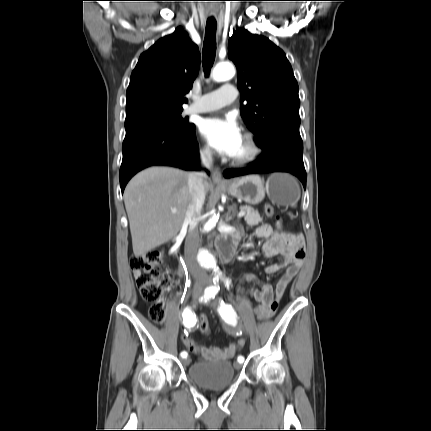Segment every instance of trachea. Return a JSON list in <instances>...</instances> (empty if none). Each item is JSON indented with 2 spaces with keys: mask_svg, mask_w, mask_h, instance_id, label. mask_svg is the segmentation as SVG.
<instances>
[{
  "mask_svg": "<svg viewBox=\"0 0 431 431\" xmlns=\"http://www.w3.org/2000/svg\"><path fill=\"white\" fill-rule=\"evenodd\" d=\"M216 28L217 23L214 18L207 20L205 29V39L203 43V68L206 76H208L211 67L213 66L216 55Z\"/></svg>",
  "mask_w": 431,
  "mask_h": 431,
  "instance_id": "3493384b",
  "label": "trachea"
}]
</instances>
